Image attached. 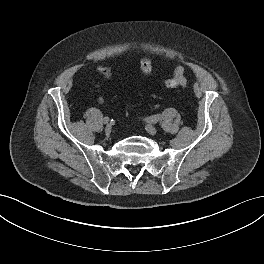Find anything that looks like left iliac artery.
<instances>
[{
  "mask_svg": "<svg viewBox=\"0 0 264 264\" xmlns=\"http://www.w3.org/2000/svg\"><path fill=\"white\" fill-rule=\"evenodd\" d=\"M161 119L160 115H154L146 118V121L149 123H157Z\"/></svg>",
  "mask_w": 264,
  "mask_h": 264,
  "instance_id": "1",
  "label": "left iliac artery"
}]
</instances>
